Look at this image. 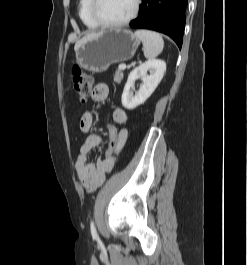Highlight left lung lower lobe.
Returning a JSON list of instances; mask_svg holds the SVG:
<instances>
[{
  "label": "left lung lower lobe",
  "instance_id": "0a47b994",
  "mask_svg": "<svg viewBox=\"0 0 247 265\" xmlns=\"http://www.w3.org/2000/svg\"><path fill=\"white\" fill-rule=\"evenodd\" d=\"M187 3L188 0H142L140 14L130 26L162 32L181 48Z\"/></svg>",
  "mask_w": 247,
  "mask_h": 265
}]
</instances>
